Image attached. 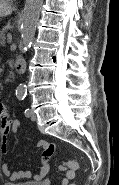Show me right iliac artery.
<instances>
[{
  "label": "right iliac artery",
  "instance_id": "82829eb1",
  "mask_svg": "<svg viewBox=\"0 0 119 185\" xmlns=\"http://www.w3.org/2000/svg\"><path fill=\"white\" fill-rule=\"evenodd\" d=\"M18 97H22V94H18Z\"/></svg>",
  "mask_w": 119,
  "mask_h": 185
}]
</instances>
